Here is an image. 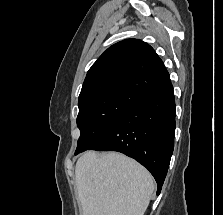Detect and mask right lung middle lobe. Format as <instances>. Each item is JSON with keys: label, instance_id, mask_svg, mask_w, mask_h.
<instances>
[{"label": "right lung middle lobe", "instance_id": "1", "mask_svg": "<svg viewBox=\"0 0 223 215\" xmlns=\"http://www.w3.org/2000/svg\"><path fill=\"white\" fill-rule=\"evenodd\" d=\"M142 95L128 90H114L79 104L77 126L80 129L75 155L99 141Z\"/></svg>", "mask_w": 223, "mask_h": 215}]
</instances>
